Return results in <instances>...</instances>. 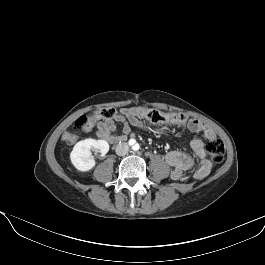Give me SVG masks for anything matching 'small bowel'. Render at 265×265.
I'll use <instances>...</instances> for the list:
<instances>
[{"label":"small bowel","mask_w":265,"mask_h":265,"mask_svg":"<svg viewBox=\"0 0 265 265\" xmlns=\"http://www.w3.org/2000/svg\"><path fill=\"white\" fill-rule=\"evenodd\" d=\"M141 108H123L116 112L115 116L105 119L97 124V135L109 143H118L131 132L129 124L143 128L142 118L137 116L136 111ZM116 123L122 127V134L116 133ZM186 127L191 132H201L208 140L216 137V133L208 125L198 120H188ZM166 162L171 166V177L173 180H184V171L196 166L193 177L196 180L206 178L211 171V163L207 159L204 150V143L201 139L195 138L190 143V152L171 151L166 154Z\"/></svg>","instance_id":"obj_1"}]
</instances>
